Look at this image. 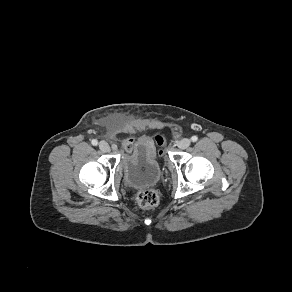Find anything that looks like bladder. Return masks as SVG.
<instances>
[{
	"instance_id": "obj_1",
	"label": "bladder",
	"mask_w": 292,
	"mask_h": 292,
	"mask_svg": "<svg viewBox=\"0 0 292 292\" xmlns=\"http://www.w3.org/2000/svg\"><path fill=\"white\" fill-rule=\"evenodd\" d=\"M144 153L138 149L122 162L123 179L131 187H146L157 182L160 166L154 157L143 158Z\"/></svg>"
}]
</instances>
